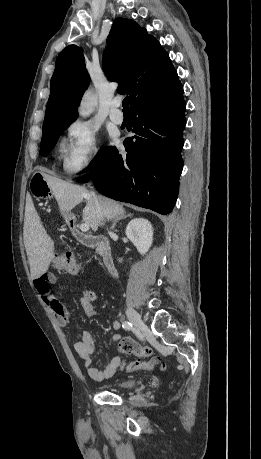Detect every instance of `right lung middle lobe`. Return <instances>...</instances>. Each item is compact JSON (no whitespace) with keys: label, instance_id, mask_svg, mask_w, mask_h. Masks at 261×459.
I'll list each match as a JSON object with an SVG mask.
<instances>
[{"label":"right lung middle lobe","instance_id":"right-lung-middle-lobe-1","mask_svg":"<svg viewBox=\"0 0 261 459\" xmlns=\"http://www.w3.org/2000/svg\"><path fill=\"white\" fill-rule=\"evenodd\" d=\"M70 123L71 122L59 124V125H55V126H51V127H47L43 129L42 140H41V145H40L41 153L43 156H46V154H48L52 150L59 136L63 133L64 130L67 129ZM106 150L107 148L104 149L99 155H97L94 158V160L90 163V167L87 169V171L96 168L102 162Z\"/></svg>","mask_w":261,"mask_h":459}]
</instances>
